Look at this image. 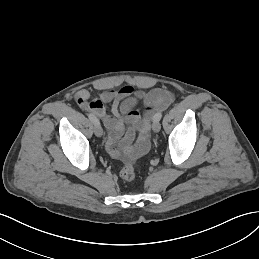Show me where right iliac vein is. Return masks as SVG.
<instances>
[{"mask_svg": "<svg viewBox=\"0 0 259 259\" xmlns=\"http://www.w3.org/2000/svg\"><path fill=\"white\" fill-rule=\"evenodd\" d=\"M94 133L97 137H101L102 134H103V130H102V127L100 124H95V127H94Z\"/></svg>", "mask_w": 259, "mask_h": 259, "instance_id": "obj_1", "label": "right iliac vein"}]
</instances>
